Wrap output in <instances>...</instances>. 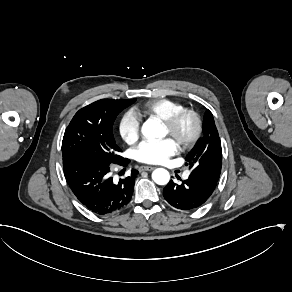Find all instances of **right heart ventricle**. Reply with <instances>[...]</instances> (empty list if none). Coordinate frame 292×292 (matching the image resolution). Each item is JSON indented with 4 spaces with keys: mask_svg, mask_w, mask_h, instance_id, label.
<instances>
[{
    "mask_svg": "<svg viewBox=\"0 0 292 292\" xmlns=\"http://www.w3.org/2000/svg\"><path fill=\"white\" fill-rule=\"evenodd\" d=\"M183 108L182 104L169 98H156L144 102L139 111L146 115H157L163 121Z\"/></svg>",
    "mask_w": 292,
    "mask_h": 292,
    "instance_id": "e07e8e85",
    "label": "right heart ventricle"
}]
</instances>
